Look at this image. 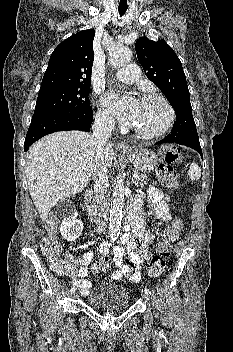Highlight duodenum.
Instances as JSON below:
<instances>
[{"mask_svg":"<svg viewBox=\"0 0 233 352\" xmlns=\"http://www.w3.org/2000/svg\"><path fill=\"white\" fill-rule=\"evenodd\" d=\"M92 199H93V192L92 191H88L85 195V200L86 202L89 204V208H90V211L92 213H95L96 209H95V206L92 202ZM136 209V205L135 204H130L128 209H127V215H131Z\"/></svg>","mask_w":233,"mask_h":352,"instance_id":"1","label":"duodenum"}]
</instances>
